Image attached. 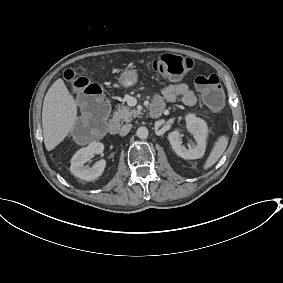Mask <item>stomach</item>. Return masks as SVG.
<instances>
[{"mask_svg":"<svg viewBox=\"0 0 283 283\" xmlns=\"http://www.w3.org/2000/svg\"><path fill=\"white\" fill-rule=\"evenodd\" d=\"M118 81L125 88H128V87L135 85L138 81L137 70H135V69H125L121 73Z\"/></svg>","mask_w":283,"mask_h":283,"instance_id":"obj_1","label":"stomach"}]
</instances>
